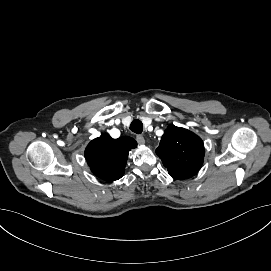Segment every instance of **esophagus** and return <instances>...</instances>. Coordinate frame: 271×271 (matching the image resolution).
Returning a JSON list of instances; mask_svg holds the SVG:
<instances>
[{"mask_svg":"<svg viewBox=\"0 0 271 271\" xmlns=\"http://www.w3.org/2000/svg\"><path fill=\"white\" fill-rule=\"evenodd\" d=\"M136 140L140 145H143L147 141V138L144 135H137Z\"/></svg>","mask_w":271,"mask_h":271,"instance_id":"34e87169","label":"esophagus"}]
</instances>
